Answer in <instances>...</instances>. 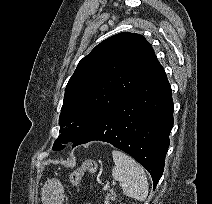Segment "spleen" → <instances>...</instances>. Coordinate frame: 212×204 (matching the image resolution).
I'll list each match as a JSON object with an SVG mask.
<instances>
[{
  "instance_id": "spleen-1",
  "label": "spleen",
  "mask_w": 212,
  "mask_h": 204,
  "mask_svg": "<svg viewBox=\"0 0 212 204\" xmlns=\"http://www.w3.org/2000/svg\"><path fill=\"white\" fill-rule=\"evenodd\" d=\"M114 167L112 175L122 183L123 193L138 201H145L148 196V181L144 169L125 153L112 151Z\"/></svg>"
}]
</instances>
